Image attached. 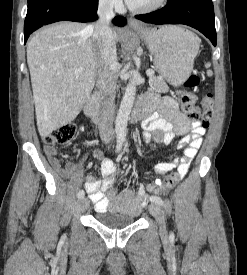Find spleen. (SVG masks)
I'll use <instances>...</instances> for the list:
<instances>
[{
    "mask_svg": "<svg viewBox=\"0 0 247 275\" xmlns=\"http://www.w3.org/2000/svg\"><path fill=\"white\" fill-rule=\"evenodd\" d=\"M196 43H197V47H199V43H200V42H199V39L196 41ZM210 65H211L210 63H206V64H205V67H206V68H209ZM207 73H208V74H212V72H211L210 70H209Z\"/></svg>",
    "mask_w": 247,
    "mask_h": 275,
    "instance_id": "obj_1",
    "label": "spleen"
}]
</instances>
